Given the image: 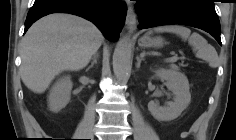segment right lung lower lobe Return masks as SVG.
Wrapping results in <instances>:
<instances>
[{"mask_svg":"<svg viewBox=\"0 0 236 140\" xmlns=\"http://www.w3.org/2000/svg\"><path fill=\"white\" fill-rule=\"evenodd\" d=\"M127 7L118 0H35L25 21V31L41 17L51 13H71L92 21L110 41L124 26Z\"/></svg>","mask_w":236,"mask_h":140,"instance_id":"obj_1","label":"right lung lower lobe"}]
</instances>
